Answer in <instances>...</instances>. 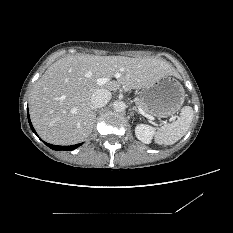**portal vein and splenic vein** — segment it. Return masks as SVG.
<instances>
[{"mask_svg": "<svg viewBox=\"0 0 233 233\" xmlns=\"http://www.w3.org/2000/svg\"><path fill=\"white\" fill-rule=\"evenodd\" d=\"M118 77H119V75H116V78H118ZM109 80H110V79L107 78V77H102V78L97 79V84H98V85H103V84L107 83ZM139 112H140L141 115H143V116L146 117V118H149V119H151V120L154 119L152 116H150L148 113H146V112H145L142 108H140V107H139Z\"/></svg>", "mask_w": 233, "mask_h": 233, "instance_id": "1", "label": "portal vein and splenic vein"}]
</instances>
